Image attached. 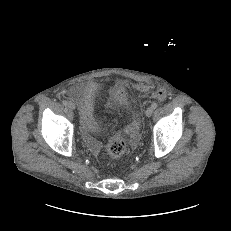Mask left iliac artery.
<instances>
[{
  "instance_id": "left-iliac-artery-1",
  "label": "left iliac artery",
  "mask_w": 231,
  "mask_h": 231,
  "mask_svg": "<svg viewBox=\"0 0 231 231\" xmlns=\"http://www.w3.org/2000/svg\"><path fill=\"white\" fill-rule=\"evenodd\" d=\"M151 107H152L153 109H156V108L158 107V104H157L156 102H154V103H152Z\"/></svg>"
}]
</instances>
